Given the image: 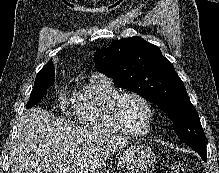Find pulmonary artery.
Instances as JSON below:
<instances>
[{"instance_id": "obj_1", "label": "pulmonary artery", "mask_w": 219, "mask_h": 173, "mask_svg": "<svg viewBox=\"0 0 219 173\" xmlns=\"http://www.w3.org/2000/svg\"><path fill=\"white\" fill-rule=\"evenodd\" d=\"M92 77H104V76H102V75H100V74H93Z\"/></svg>"}]
</instances>
